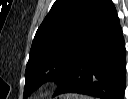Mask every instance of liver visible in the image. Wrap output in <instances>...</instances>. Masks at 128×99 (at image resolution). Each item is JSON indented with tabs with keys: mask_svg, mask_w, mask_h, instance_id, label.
<instances>
[{
	"mask_svg": "<svg viewBox=\"0 0 128 99\" xmlns=\"http://www.w3.org/2000/svg\"><path fill=\"white\" fill-rule=\"evenodd\" d=\"M79 97L80 96L74 94L64 96L65 99H80Z\"/></svg>",
	"mask_w": 128,
	"mask_h": 99,
	"instance_id": "obj_1",
	"label": "liver"
}]
</instances>
